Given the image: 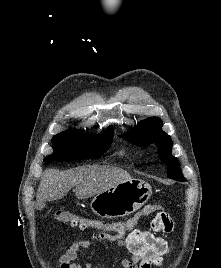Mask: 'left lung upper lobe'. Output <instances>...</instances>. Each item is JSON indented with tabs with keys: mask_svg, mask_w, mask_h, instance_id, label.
Returning a JSON list of instances; mask_svg holds the SVG:
<instances>
[{
	"mask_svg": "<svg viewBox=\"0 0 221 268\" xmlns=\"http://www.w3.org/2000/svg\"><path fill=\"white\" fill-rule=\"evenodd\" d=\"M161 128V119L151 117L143 120L129 133L121 135L120 137H123L125 140L142 147L155 143L158 147L157 153L161 161L165 162L168 166V177L177 181H185V178L180 171L178 159L171 154V137L162 131Z\"/></svg>",
	"mask_w": 221,
	"mask_h": 268,
	"instance_id": "5c2ea615",
	"label": "left lung upper lobe"
}]
</instances>
